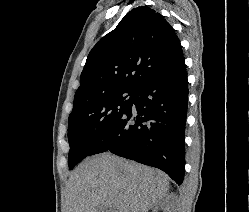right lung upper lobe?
<instances>
[{"instance_id": "1", "label": "right lung upper lobe", "mask_w": 249, "mask_h": 212, "mask_svg": "<svg viewBox=\"0 0 249 212\" xmlns=\"http://www.w3.org/2000/svg\"><path fill=\"white\" fill-rule=\"evenodd\" d=\"M182 57L171 25L155 10L137 7L89 53L74 108L106 94L135 92Z\"/></svg>"}]
</instances>
